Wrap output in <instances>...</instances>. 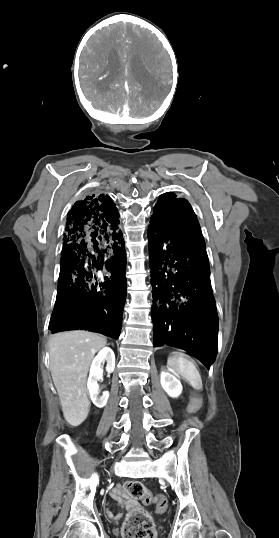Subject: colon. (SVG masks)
Returning a JSON list of instances; mask_svg holds the SVG:
<instances>
[{
	"instance_id": "obj_1",
	"label": "colon",
	"mask_w": 279,
	"mask_h": 538,
	"mask_svg": "<svg viewBox=\"0 0 279 538\" xmlns=\"http://www.w3.org/2000/svg\"><path fill=\"white\" fill-rule=\"evenodd\" d=\"M126 490L133 499L153 502L157 513H163L168 506L164 495L148 493L140 482H129ZM123 538H155V531L151 519L144 513L134 514L123 526Z\"/></svg>"
}]
</instances>
